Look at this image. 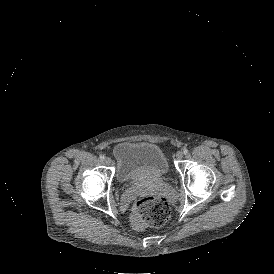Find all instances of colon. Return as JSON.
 Returning <instances> with one entry per match:
<instances>
[{"label":"colon","instance_id":"colon-1","mask_svg":"<svg viewBox=\"0 0 274 274\" xmlns=\"http://www.w3.org/2000/svg\"><path fill=\"white\" fill-rule=\"evenodd\" d=\"M170 215L165 198H140L131 206V228L142 231L148 227H160L168 222Z\"/></svg>","mask_w":274,"mask_h":274}]
</instances>
